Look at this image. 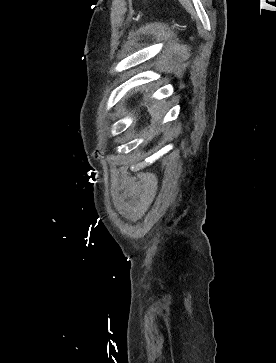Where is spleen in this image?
Here are the masks:
<instances>
[{"mask_svg":"<svg viewBox=\"0 0 276 363\" xmlns=\"http://www.w3.org/2000/svg\"><path fill=\"white\" fill-rule=\"evenodd\" d=\"M162 107H163L162 102H158L152 107V117L155 122H159L163 117L164 111Z\"/></svg>","mask_w":276,"mask_h":363,"instance_id":"spleen-1","label":"spleen"}]
</instances>
